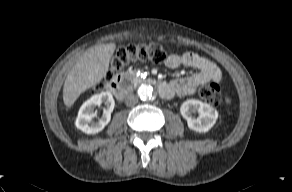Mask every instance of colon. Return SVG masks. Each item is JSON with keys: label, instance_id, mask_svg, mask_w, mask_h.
Here are the masks:
<instances>
[{"label": "colon", "instance_id": "5ec220e1", "mask_svg": "<svg viewBox=\"0 0 292 192\" xmlns=\"http://www.w3.org/2000/svg\"><path fill=\"white\" fill-rule=\"evenodd\" d=\"M166 59V52L163 46L156 42L145 44H129L117 50L111 62L110 70L106 76V80L110 81L117 72L121 71L131 62H147L161 63ZM103 83L98 85V89H102ZM202 99L218 105L221 102V91L217 83H210L201 88L199 92Z\"/></svg>", "mask_w": 292, "mask_h": 192}]
</instances>
